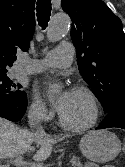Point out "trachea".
<instances>
[{
  "mask_svg": "<svg viewBox=\"0 0 125 167\" xmlns=\"http://www.w3.org/2000/svg\"><path fill=\"white\" fill-rule=\"evenodd\" d=\"M51 0H38L37 1V21L42 29L48 26V22L51 15Z\"/></svg>",
  "mask_w": 125,
  "mask_h": 167,
  "instance_id": "3493384b",
  "label": "trachea"
}]
</instances>
